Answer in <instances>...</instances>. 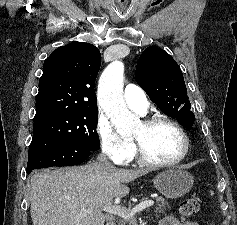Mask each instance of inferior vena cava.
Masks as SVG:
<instances>
[{"instance_id":"1","label":"inferior vena cava","mask_w":237,"mask_h":225,"mask_svg":"<svg viewBox=\"0 0 237 225\" xmlns=\"http://www.w3.org/2000/svg\"><path fill=\"white\" fill-rule=\"evenodd\" d=\"M97 163L101 164V165H105L108 167H114L112 166L108 161H107V156L104 152H101L98 157H97Z\"/></svg>"}]
</instances>
